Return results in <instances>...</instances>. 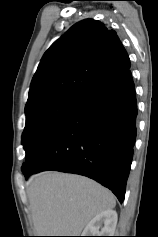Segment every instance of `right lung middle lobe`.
Listing matches in <instances>:
<instances>
[{"instance_id":"1","label":"right lung middle lobe","mask_w":158,"mask_h":237,"mask_svg":"<svg viewBox=\"0 0 158 237\" xmlns=\"http://www.w3.org/2000/svg\"><path fill=\"white\" fill-rule=\"evenodd\" d=\"M84 101L70 97L44 100L25 109L26 125L22 144L26 152L24 170L43 141L58 128Z\"/></svg>"}]
</instances>
